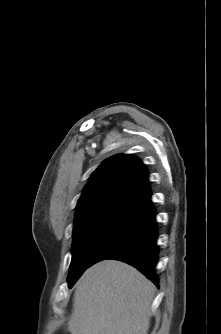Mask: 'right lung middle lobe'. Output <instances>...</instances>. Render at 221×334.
I'll list each match as a JSON object with an SVG mask.
<instances>
[{"mask_svg": "<svg viewBox=\"0 0 221 334\" xmlns=\"http://www.w3.org/2000/svg\"><path fill=\"white\" fill-rule=\"evenodd\" d=\"M145 217L102 214L89 217L73 229L69 288L94 263L106 259L143 224Z\"/></svg>", "mask_w": 221, "mask_h": 334, "instance_id": "right-lung-middle-lobe-1", "label": "right lung middle lobe"}]
</instances>
